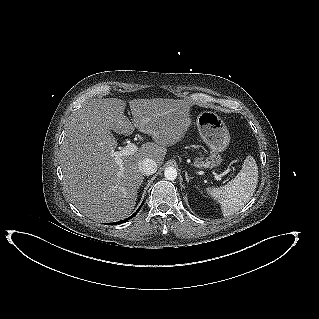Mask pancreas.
I'll return each instance as SVG.
<instances>
[{
    "label": "pancreas",
    "mask_w": 319,
    "mask_h": 319,
    "mask_svg": "<svg viewBox=\"0 0 319 319\" xmlns=\"http://www.w3.org/2000/svg\"><path fill=\"white\" fill-rule=\"evenodd\" d=\"M211 163H212V161H208V160L203 161V157H201V158H197V159H196L194 165H195L196 167H198V168H208V167H210L211 165H213V164H211Z\"/></svg>",
    "instance_id": "cf45deb5"
}]
</instances>
